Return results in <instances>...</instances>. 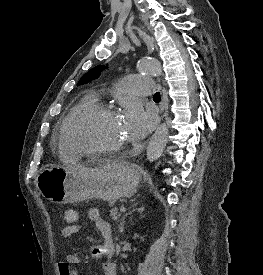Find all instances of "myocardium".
Listing matches in <instances>:
<instances>
[{
  "instance_id": "myocardium-1",
  "label": "myocardium",
  "mask_w": 263,
  "mask_h": 275,
  "mask_svg": "<svg viewBox=\"0 0 263 275\" xmlns=\"http://www.w3.org/2000/svg\"><path fill=\"white\" fill-rule=\"evenodd\" d=\"M102 114L107 115H117L115 109L104 104H95L94 106L86 109L81 114H79L74 120L70 131L67 135V140L69 141L72 148L82 156H110L121 153L125 149V145H120L108 149H88L81 146L75 139V135L79 127L87 120Z\"/></svg>"
}]
</instances>
